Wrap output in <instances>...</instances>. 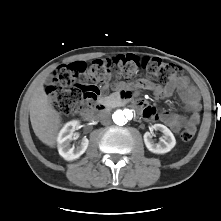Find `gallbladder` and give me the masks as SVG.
Listing matches in <instances>:
<instances>
[{
  "mask_svg": "<svg viewBox=\"0 0 221 221\" xmlns=\"http://www.w3.org/2000/svg\"><path fill=\"white\" fill-rule=\"evenodd\" d=\"M52 80H53V76H49V78L47 79V81H48L49 83H51Z\"/></svg>",
  "mask_w": 221,
  "mask_h": 221,
  "instance_id": "1",
  "label": "gallbladder"
}]
</instances>
